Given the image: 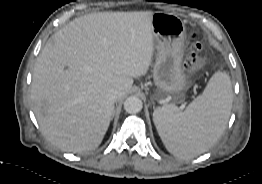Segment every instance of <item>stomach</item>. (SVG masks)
I'll return each instance as SVG.
<instances>
[{"label":"stomach","instance_id":"0dacf381","mask_svg":"<svg viewBox=\"0 0 262 184\" xmlns=\"http://www.w3.org/2000/svg\"><path fill=\"white\" fill-rule=\"evenodd\" d=\"M151 27L157 49L153 66L157 98L169 96L179 102L188 82L183 70L185 25L180 17L171 13L155 12Z\"/></svg>","mask_w":262,"mask_h":184}]
</instances>
